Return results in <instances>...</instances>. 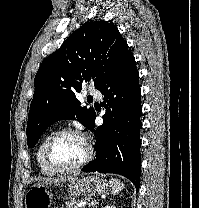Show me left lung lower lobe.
Here are the masks:
<instances>
[{
	"label": "left lung lower lobe",
	"instance_id": "0a47b994",
	"mask_svg": "<svg viewBox=\"0 0 199 208\" xmlns=\"http://www.w3.org/2000/svg\"><path fill=\"white\" fill-rule=\"evenodd\" d=\"M98 90L104 95L106 113L103 124L95 126L94 114L90 130L95 132L96 159L82 168L84 172L120 174L140 187V121L141 89L134 56L128 57Z\"/></svg>",
	"mask_w": 199,
	"mask_h": 208
}]
</instances>
